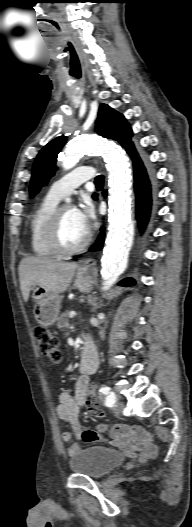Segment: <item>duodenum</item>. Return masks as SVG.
<instances>
[{
	"label": "duodenum",
	"instance_id": "410a0bca",
	"mask_svg": "<svg viewBox=\"0 0 192 527\" xmlns=\"http://www.w3.org/2000/svg\"><path fill=\"white\" fill-rule=\"evenodd\" d=\"M97 355L93 344L87 342L82 352L80 363V371L84 375H88L96 370Z\"/></svg>",
	"mask_w": 192,
	"mask_h": 527
}]
</instances>
